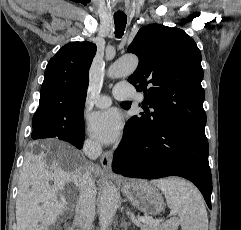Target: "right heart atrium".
I'll list each match as a JSON object with an SVG mask.
<instances>
[{"label": "right heart atrium", "instance_id": "right-heart-atrium-1", "mask_svg": "<svg viewBox=\"0 0 241 230\" xmlns=\"http://www.w3.org/2000/svg\"><path fill=\"white\" fill-rule=\"evenodd\" d=\"M84 148L89 154H95L99 150L98 144L91 139H86L84 141Z\"/></svg>", "mask_w": 241, "mask_h": 230}]
</instances>
